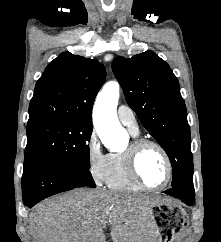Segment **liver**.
<instances>
[{
  "label": "liver",
  "mask_w": 221,
  "mask_h": 242,
  "mask_svg": "<svg viewBox=\"0 0 221 242\" xmlns=\"http://www.w3.org/2000/svg\"><path fill=\"white\" fill-rule=\"evenodd\" d=\"M160 197L75 189L39 203L29 215V232L36 242H155L158 232L149 208Z\"/></svg>",
  "instance_id": "liver-1"
}]
</instances>
